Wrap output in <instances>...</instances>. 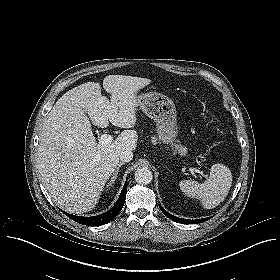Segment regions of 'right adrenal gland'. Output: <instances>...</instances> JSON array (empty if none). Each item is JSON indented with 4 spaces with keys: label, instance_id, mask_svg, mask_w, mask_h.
<instances>
[{
    "label": "right adrenal gland",
    "instance_id": "2a0ac1e0",
    "mask_svg": "<svg viewBox=\"0 0 280 280\" xmlns=\"http://www.w3.org/2000/svg\"><path fill=\"white\" fill-rule=\"evenodd\" d=\"M123 164H124L123 162H120L118 164V166L116 167L115 171L112 174V177H111L110 182L108 183V186H112L115 183L116 179L118 178L119 170Z\"/></svg>",
    "mask_w": 280,
    "mask_h": 280
}]
</instances>
